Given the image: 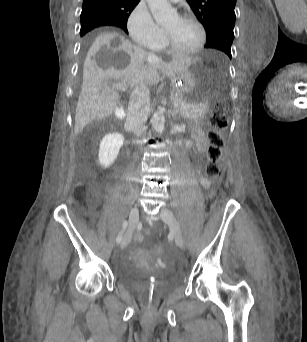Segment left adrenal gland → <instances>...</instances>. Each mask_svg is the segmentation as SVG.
Instances as JSON below:
<instances>
[{
  "label": "left adrenal gland",
  "mask_w": 307,
  "mask_h": 342,
  "mask_svg": "<svg viewBox=\"0 0 307 342\" xmlns=\"http://www.w3.org/2000/svg\"><path fill=\"white\" fill-rule=\"evenodd\" d=\"M173 118H177L176 110L173 112Z\"/></svg>",
  "instance_id": "obj_1"
}]
</instances>
